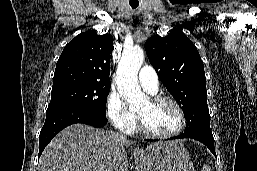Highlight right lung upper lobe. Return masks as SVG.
<instances>
[{"label": "right lung upper lobe", "instance_id": "obj_1", "mask_svg": "<svg viewBox=\"0 0 257 171\" xmlns=\"http://www.w3.org/2000/svg\"><path fill=\"white\" fill-rule=\"evenodd\" d=\"M113 37L96 31L76 36L63 49L56 64L53 88L75 83L110 84Z\"/></svg>", "mask_w": 257, "mask_h": 171}]
</instances>
